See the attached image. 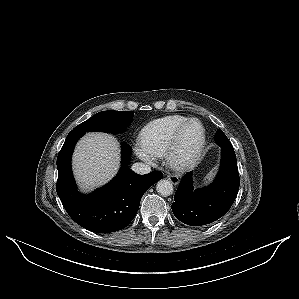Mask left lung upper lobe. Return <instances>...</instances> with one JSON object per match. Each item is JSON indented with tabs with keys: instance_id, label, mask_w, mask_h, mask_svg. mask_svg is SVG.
Instances as JSON below:
<instances>
[{
	"instance_id": "left-lung-upper-lobe-1",
	"label": "left lung upper lobe",
	"mask_w": 299,
	"mask_h": 299,
	"mask_svg": "<svg viewBox=\"0 0 299 299\" xmlns=\"http://www.w3.org/2000/svg\"><path fill=\"white\" fill-rule=\"evenodd\" d=\"M215 141L224 142V143L230 142L221 129L217 130L216 135H215Z\"/></svg>"
}]
</instances>
